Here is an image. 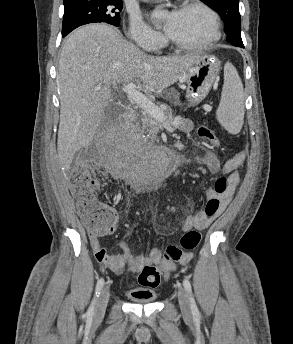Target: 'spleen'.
<instances>
[{
	"mask_svg": "<svg viewBox=\"0 0 293 344\" xmlns=\"http://www.w3.org/2000/svg\"><path fill=\"white\" fill-rule=\"evenodd\" d=\"M244 113L242 81L236 68L231 63H226L221 100L216 112L217 120L229 133L237 134L242 129Z\"/></svg>",
	"mask_w": 293,
	"mask_h": 344,
	"instance_id": "1",
	"label": "spleen"
}]
</instances>
